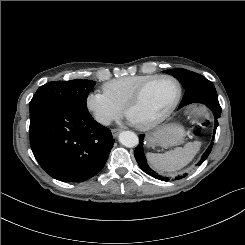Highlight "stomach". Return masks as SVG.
<instances>
[{"mask_svg": "<svg viewBox=\"0 0 245 245\" xmlns=\"http://www.w3.org/2000/svg\"><path fill=\"white\" fill-rule=\"evenodd\" d=\"M185 136L184 128L179 124H167L158 127L148 136V145L164 148L178 145Z\"/></svg>", "mask_w": 245, "mask_h": 245, "instance_id": "0dacf381", "label": "stomach"}]
</instances>
